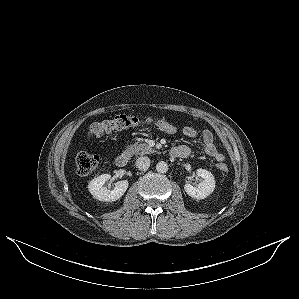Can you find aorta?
Listing matches in <instances>:
<instances>
[{"label": "aorta", "mask_w": 299, "mask_h": 299, "mask_svg": "<svg viewBox=\"0 0 299 299\" xmlns=\"http://www.w3.org/2000/svg\"><path fill=\"white\" fill-rule=\"evenodd\" d=\"M156 170L159 173H166L168 171V165L164 161H160L156 165Z\"/></svg>", "instance_id": "obj_1"}]
</instances>
